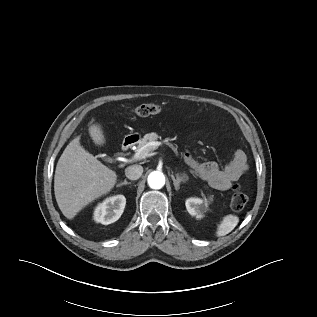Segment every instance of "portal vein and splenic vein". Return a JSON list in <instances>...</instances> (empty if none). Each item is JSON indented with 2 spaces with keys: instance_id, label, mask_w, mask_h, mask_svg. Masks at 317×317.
<instances>
[{
  "instance_id": "1",
  "label": "portal vein and splenic vein",
  "mask_w": 317,
  "mask_h": 317,
  "mask_svg": "<svg viewBox=\"0 0 317 317\" xmlns=\"http://www.w3.org/2000/svg\"><path fill=\"white\" fill-rule=\"evenodd\" d=\"M161 145V142L155 141V142H149L147 143L145 146H143L142 148H140L135 154H134V158L136 160H140L145 158L146 156H148V153L146 152L147 148H152L153 150H155L156 148H158Z\"/></svg>"
}]
</instances>
